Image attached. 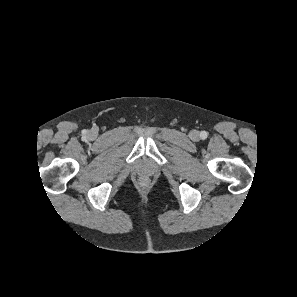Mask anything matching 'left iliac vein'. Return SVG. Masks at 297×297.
<instances>
[{"label": "left iliac vein", "mask_w": 297, "mask_h": 297, "mask_svg": "<svg viewBox=\"0 0 297 297\" xmlns=\"http://www.w3.org/2000/svg\"><path fill=\"white\" fill-rule=\"evenodd\" d=\"M199 137H200V134H199V132L197 130H192L190 132V138L192 140L197 141L199 139Z\"/></svg>", "instance_id": "left-iliac-vein-1"}]
</instances>
